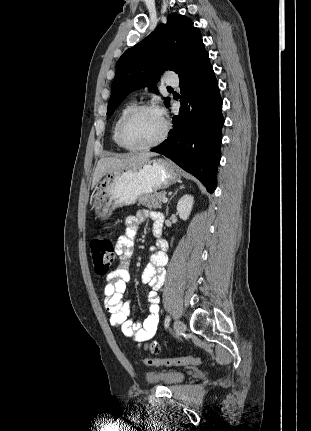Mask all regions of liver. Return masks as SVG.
<instances>
[{
	"label": "liver",
	"mask_w": 311,
	"mask_h": 431,
	"mask_svg": "<svg viewBox=\"0 0 311 431\" xmlns=\"http://www.w3.org/2000/svg\"><path fill=\"white\" fill-rule=\"evenodd\" d=\"M154 156H158V154L140 152V154H125L122 158H101L95 168L91 188L98 186L100 180L107 174L119 172V170H137L139 166H143Z\"/></svg>",
	"instance_id": "1"
}]
</instances>
